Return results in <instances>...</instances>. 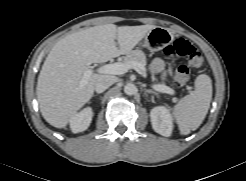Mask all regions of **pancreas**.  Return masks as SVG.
<instances>
[{"mask_svg": "<svg viewBox=\"0 0 246 181\" xmlns=\"http://www.w3.org/2000/svg\"><path fill=\"white\" fill-rule=\"evenodd\" d=\"M123 62L124 63H132V62H137L139 64H141L144 68L146 66V56L144 54L143 51L141 50H133L131 52H129L128 54H126V56L123 57ZM163 85V84H161Z\"/></svg>", "mask_w": 246, "mask_h": 181, "instance_id": "1", "label": "pancreas"}]
</instances>
